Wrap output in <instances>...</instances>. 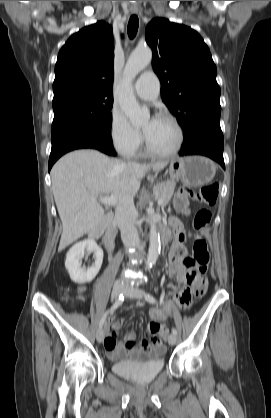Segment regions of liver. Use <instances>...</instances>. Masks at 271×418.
I'll list each match as a JSON object with an SVG mask.
<instances>
[{
	"instance_id": "1",
	"label": "liver",
	"mask_w": 271,
	"mask_h": 418,
	"mask_svg": "<svg viewBox=\"0 0 271 418\" xmlns=\"http://www.w3.org/2000/svg\"><path fill=\"white\" fill-rule=\"evenodd\" d=\"M167 164L122 161L96 150H77L59 159L51 170L52 191L63 226L59 251L102 223L104 210L97 202L99 196L111 193L118 201L125 195L134 197L145 174L151 169L160 171Z\"/></svg>"
}]
</instances>
